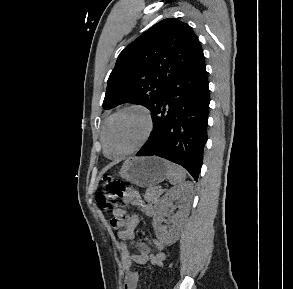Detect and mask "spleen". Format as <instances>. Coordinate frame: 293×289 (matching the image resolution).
Returning <instances> with one entry per match:
<instances>
[{
	"instance_id": "spleen-1",
	"label": "spleen",
	"mask_w": 293,
	"mask_h": 289,
	"mask_svg": "<svg viewBox=\"0 0 293 289\" xmlns=\"http://www.w3.org/2000/svg\"><path fill=\"white\" fill-rule=\"evenodd\" d=\"M167 166V178L172 185L181 184L186 179L184 169L176 164L165 161Z\"/></svg>"
}]
</instances>
